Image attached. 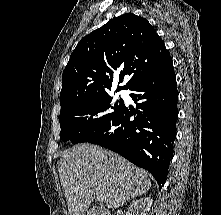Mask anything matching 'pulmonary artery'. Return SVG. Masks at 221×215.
I'll list each match as a JSON object with an SVG mask.
<instances>
[{
  "instance_id": "1",
  "label": "pulmonary artery",
  "mask_w": 221,
  "mask_h": 215,
  "mask_svg": "<svg viewBox=\"0 0 221 215\" xmlns=\"http://www.w3.org/2000/svg\"><path fill=\"white\" fill-rule=\"evenodd\" d=\"M121 95H123L124 93L122 91L119 92Z\"/></svg>"
}]
</instances>
